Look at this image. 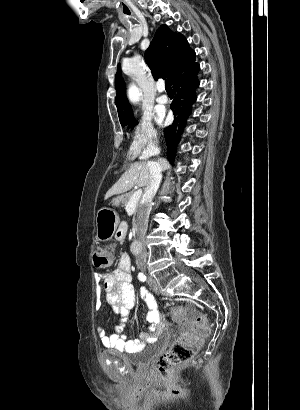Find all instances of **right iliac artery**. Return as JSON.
<instances>
[{
	"instance_id": "82829eb1",
	"label": "right iliac artery",
	"mask_w": 300,
	"mask_h": 410,
	"mask_svg": "<svg viewBox=\"0 0 300 410\" xmlns=\"http://www.w3.org/2000/svg\"><path fill=\"white\" fill-rule=\"evenodd\" d=\"M138 279H139L141 282H145V281H146V276H145L143 273H139V274H138Z\"/></svg>"
}]
</instances>
